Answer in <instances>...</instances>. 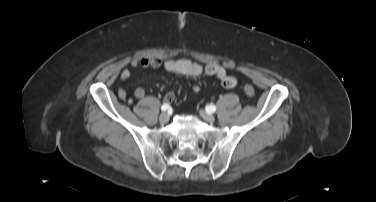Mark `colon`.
Wrapping results in <instances>:
<instances>
[{
	"mask_svg": "<svg viewBox=\"0 0 376 202\" xmlns=\"http://www.w3.org/2000/svg\"><path fill=\"white\" fill-rule=\"evenodd\" d=\"M244 90V93L247 95V96H253L255 94V89L252 85L250 84H246L243 88Z\"/></svg>",
	"mask_w": 376,
	"mask_h": 202,
	"instance_id": "colon-1",
	"label": "colon"
}]
</instances>
